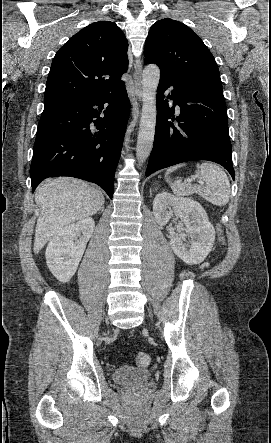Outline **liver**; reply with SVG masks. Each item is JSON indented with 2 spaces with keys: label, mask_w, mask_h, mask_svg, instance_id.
Returning <instances> with one entry per match:
<instances>
[{
  "label": "liver",
  "mask_w": 271,
  "mask_h": 443,
  "mask_svg": "<svg viewBox=\"0 0 271 443\" xmlns=\"http://www.w3.org/2000/svg\"><path fill=\"white\" fill-rule=\"evenodd\" d=\"M35 202L40 216L35 227L34 253H39L64 225L94 216L105 204L100 190L76 178L47 180L37 188Z\"/></svg>",
  "instance_id": "liver-1"
}]
</instances>
